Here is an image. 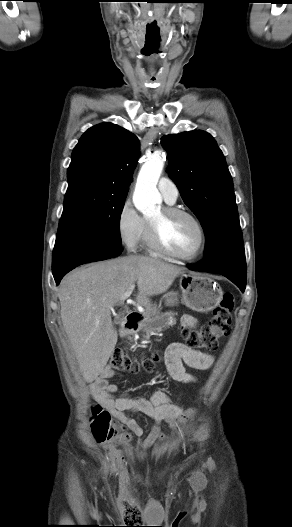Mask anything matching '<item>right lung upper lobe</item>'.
<instances>
[{
    "instance_id": "1",
    "label": "right lung upper lobe",
    "mask_w": 292,
    "mask_h": 527,
    "mask_svg": "<svg viewBox=\"0 0 292 527\" xmlns=\"http://www.w3.org/2000/svg\"><path fill=\"white\" fill-rule=\"evenodd\" d=\"M139 150L137 137L128 130L112 123L93 126L72 152L68 184L127 194Z\"/></svg>"
}]
</instances>
